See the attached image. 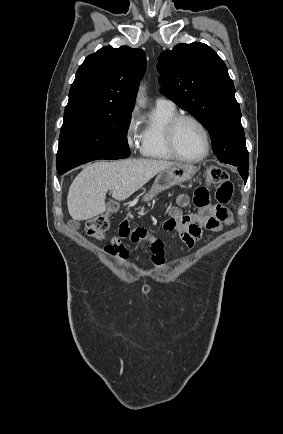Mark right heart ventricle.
<instances>
[{
  "label": "right heart ventricle",
  "mask_w": 283,
  "mask_h": 434,
  "mask_svg": "<svg viewBox=\"0 0 283 434\" xmlns=\"http://www.w3.org/2000/svg\"><path fill=\"white\" fill-rule=\"evenodd\" d=\"M175 115V107L156 106L152 110L141 132L140 152L144 157L163 161L175 159L165 140L166 125Z\"/></svg>",
  "instance_id": "right-heart-ventricle-1"
}]
</instances>
